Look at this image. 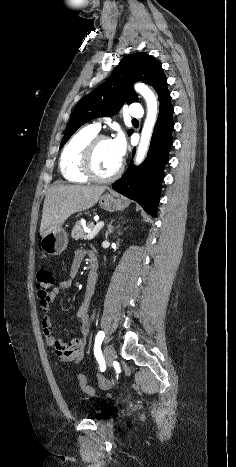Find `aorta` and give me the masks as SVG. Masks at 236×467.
<instances>
[{
    "mask_svg": "<svg viewBox=\"0 0 236 467\" xmlns=\"http://www.w3.org/2000/svg\"><path fill=\"white\" fill-rule=\"evenodd\" d=\"M135 90L144 97L147 103V116L141 132V139L135 157V164L139 165L144 160L150 145L153 129L157 120L158 103L156 96L147 85L137 83L135 85Z\"/></svg>",
    "mask_w": 236,
    "mask_h": 467,
    "instance_id": "aorta-1",
    "label": "aorta"
}]
</instances>
